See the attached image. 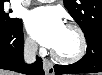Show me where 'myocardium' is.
Segmentation results:
<instances>
[{"mask_svg":"<svg viewBox=\"0 0 102 75\" xmlns=\"http://www.w3.org/2000/svg\"><path fill=\"white\" fill-rule=\"evenodd\" d=\"M66 28L74 31L77 36H78V39H79V50L78 52L73 55V56H63L59 53H57L56 51L52 50L51 53H52V56L60 61V62H63V63H67V64H70V63H74L78 60H80L86 53L87 51V46H88V43H87V38H86V35L84 33V31L82 30V28L75 24V23H72V22H68L66 25H65Z\"/></svg>","mask_w":102,"mask_h":75,"instance_id":"1","label":"myocardium"}]
</instances>
